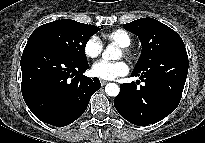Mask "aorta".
<instances>
[{"instance_id": "obj_1", "label": "aorta", "mask_w": 205, "mask_h": 143, "mask_svg": "<svg viewBox=\"0 0 205 143\" xmlns=\"http://www.w3.org/2000/svg\"><path fill=\"white\" fill-rule=\"evenodd\" d=\"M120 56V52L112 45H108L102 54L104 60H116ZM105 92L108 96H117L119 93V87L115 83H108L105 86Z\"/></svg>"}]
</instances>
